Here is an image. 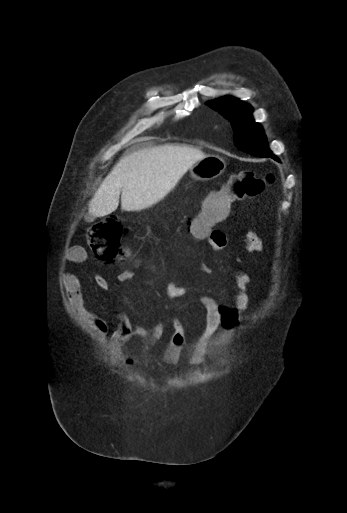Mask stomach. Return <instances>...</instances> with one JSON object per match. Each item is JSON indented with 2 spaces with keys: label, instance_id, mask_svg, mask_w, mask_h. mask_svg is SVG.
<instances>
[{
  "label": "stomach",
  "instance_id": "1",
  "mask_svg": "<svg viewBox=\"0 0 347 513\" xmlns=\"http://www.w3.org/2000/svg\"><path fill=\"white\" fill-rule=\"evenodd\" d=\"M226 168L223 158L216 155H208L199 160L190 168L192 178L200 181H209L220 176Z\"/></svg>",
  "mask_w": 347,
  "mask_h": 513
}]
</instances>
